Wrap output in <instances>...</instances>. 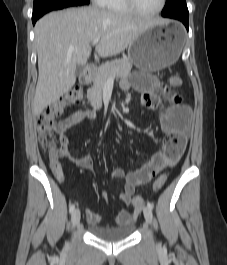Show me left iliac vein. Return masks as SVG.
Segmentation results:
<instances>
[{
	"label": "left iliac vein",
	"instance_id": "obj_1",
	"mask_svg": "<svg viewBox=\"0 0 227 265\" xmlns=\"http://www.w3.org/2000/svg\"><path fill=\"white\" fill-rule=\"evenodd\" d=\"M143 214H144V217H145V220L148 224H151L152 223V212L151 210L148 208V206H145L143 208Z\"/></svg>",
	"mask_w": 227,
	"mask_h": 265
}]
</instances>
